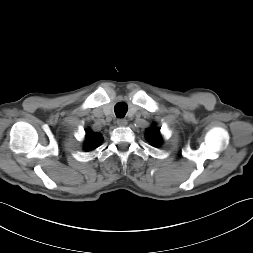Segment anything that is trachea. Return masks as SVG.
<instances>
[{"label":"trachea","instance_id":"trachea-1","mask_svg":"<svg viewBox=\"0 0 253 253\" xmlns=\"http://www.w3.org/2000/svg\"><path fill=\"white\" fill-rule=\"evenodd\" d=\"M128 111V106L124 102H119L114 107V112L118 118H123Z\"/></svg>","mask_w":253,"mask_h":253}]
</instances>
